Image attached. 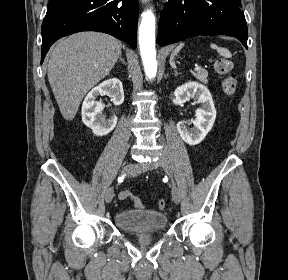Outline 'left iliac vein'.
I'll return each instance as SVG.
<instances>
[{"label": "left iliac vein", "mask_w": 288, "mask_h": 280, "mask_svg": "<svg viewBox=\"0 0 288 280\" xmlns=\"http://www.w3.org/2000/svg\"><path fill=\"white\" fill-rule=\"evenodd\" d=\"M160 166L167 173L170 174L171 168H170L169 161L167 159H160L157 162L144 164L143 168L146 169V170H149V169L152 170V169H157ZM172 199H173L174 203H176V204H178L180 202V193H179V190H178L176 185H175V187H172Z\"/></svg>", "instance_id": "1"}]
</instances>
